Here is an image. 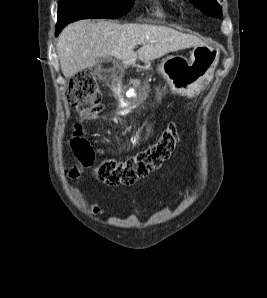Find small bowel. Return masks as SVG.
I'll return each instance as SVG.
<instances>
[{
    "mask_svg": "<svg viewBox=\"0 0 267 298\" xmlns=\"http://www.w3.org/2000/svg\"><path fill=\"white\" fill-rule=\"evenodd\" d=\"M76 195H77V198L79 200H81V196L79 194H76ZM91 210H92L93 213L97 214V213L100 212V207L97 204H92L91 205Z\"/></svg>",
    "mask_w": 267,
    "mask_h": 298,
    "instance_id": "c3829d8e",
    "label": "small bowel"
}]
</instances>
